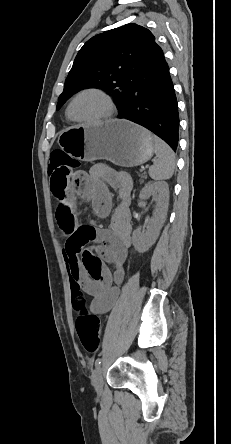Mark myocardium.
Listing matches in <instances>:
<instances>
[{
  "instance_id": "obj_1",
  "label": "myocardium",
  "mask_w": 231,
  "mask_h": 444,
  "mask_svg": "<svg viewBox=\"0 0 231 444\" xmlns=\"http://www.w3.org/2000/svg\"><path fill=\"white\" fill-rule=\"evenodd\" d=\"M90 92L99 94L105 100V102L107 104V112L104 115H102L98 118H95L93 120H85V119L77 118L73 113L74 102L81 95H83L85 93H90ZM115 112H116V105L114 103V100L105 90H103L99 87H88V88L82 89L77 94H75V96L71 99V101L68 105L69 117L75 122L87 124V125L99 124V123L105 122V121L111 119L114 116Z\"/></svg>"
}]
</instances>
